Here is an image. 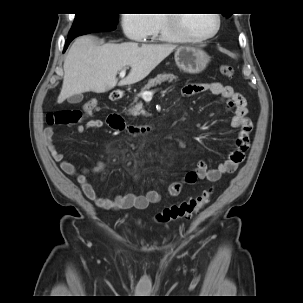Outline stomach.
Listing matches in <instances>:
<instances>
[{"label":"stomach","mask_w":303,"mask_h":303,"mask_svg":"<svg viewBox=\"0 0 303 303\" xmlns=\"http://www.w3.org/2000/svg\"><path fill=\"white\" fill-rule=\"evenodd\" d=\"M175 62L184 72L198 74L206 68L210 57L202 49L181 46L175 52Z\"/></svg>","instance_id":"stomach-1"}]
</instances>
